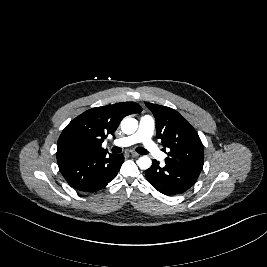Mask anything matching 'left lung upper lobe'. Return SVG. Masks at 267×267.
I'll use <instances>...</instances> for the list:
<instances>
[{
	"mask_svg": "<svg viewBox=\"0 0 267 267\" xmlns=\"http://www.w3.org/2000/svg\"><path fill=\"white\" fill-rule=\"evenodd\" d=\"M156 120L157 138L170 148L165 163L200 174L204 164L203 144L195 129L172 108L145 103Z\"/></svg>",
	"mask_w": 267,
	"mask_h": 267,
	"instance_id": "obj_1",
	"label": "left lung upper lobe"
}]
</instances>
